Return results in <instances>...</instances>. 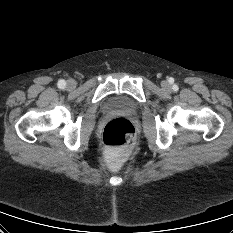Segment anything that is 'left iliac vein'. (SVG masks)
I'll return each mask as SVG.
<instances>
[{
    "instance_id": "1",
    "label": "left iliac vein",
    "mask_w": 233,
    "mask_h": 233,
    "mask_svg": "<svg viewBox=\"0 0 233 233\" xmlns=\"http://www.w3.org/2000/svg\"><path fill=\"white\" fill-rule=\"evenodd\" d=\"M162 88L166 91H169L171 89L170 84L167 81L162 82Z\"/></svg>"
}]
</instances>
